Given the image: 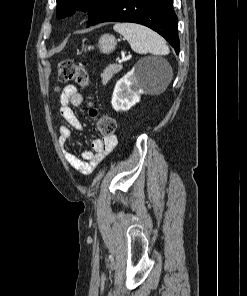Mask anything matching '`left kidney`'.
Masks as SVG:
<instances>
[{
    "instance_id": "obj_1",
    "label": "left kidney",
    "mask_w": 247,
    "mask_h": 296,
    "mask_svg": "<svg viewBox=\"0 0 247 296\" xmlns=\"http://www.w3.org/2000/svg\"><path fill=\"white\" fill-rule=\"evenodd\" d=\"M156 80L151 67L138 62L133 69L115 85L111 104L116 111H127L140 101V95L146 93V87Z\"/></svg>"
}]
</instances>
